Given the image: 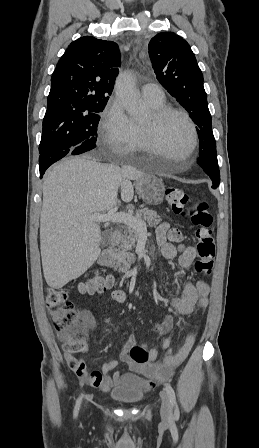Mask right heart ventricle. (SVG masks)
I'll return each mask as SVG.
<instances>
[{
	"mask_svg": "<svg viewBox=\"0 0 259 448\" xmlns=\"http://www.w3.org/2000/svg\"><path fill=\"white\" fill-rule=\"evenodd\" d=\"M145 101L152 109H159V108L165 106V100H162V101H159V102H151V101H147V100H145ZM132 123H133L134 129H135V132H136L137 141H136L135 151L131 155V157L129 158V160H128L129 162H135L136 161V157H137L136 154L139 151H145L146 150V145H145V142H144V139H143V136H142V132H141V124L142 123L141 122H135V121H132Z\"/></svg>",
	"mask_w": 259,
	"mask_h": 448,
	"instance_id": "e07e8e85",
	"label": "right heart ventricle"
}]
</instances>
